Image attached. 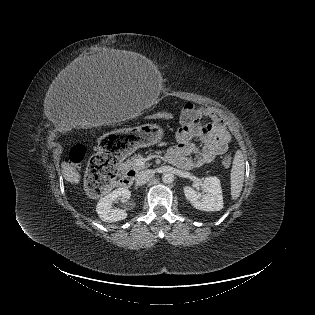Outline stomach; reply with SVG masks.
<instances>
[{"label": "stomach", "instance_id": "stomach-1", "mask_svg": "<svg viewBox=\"0 0 315 315\" xmlns=\"http://www.w3.org/2000/svg\"><path fill=\"white\" fill-rule=\"evenodd\" d=\"M164 138V129L156 123L143 124L136 131L125 130L105 135L99 143L100 151L110 158L136 156L142 147L159 143Z\"/></svg>", "mask_w": 315, "mask_h": 315}]
</instances>
